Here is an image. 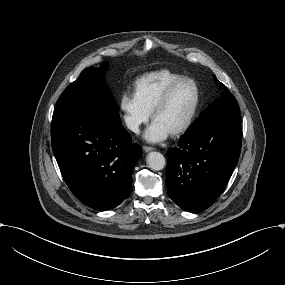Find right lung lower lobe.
Here are the masks:
<instances>
[{
	"instance_id": "98d812e1",
	"label": "right lung lower lobe",
	"mask_w": 285,
	"mask_h": 285,
	"mask_svg": "<svg viewBox=\"0 0 285 285\" xmlns=\"http://www.w3.org/2000/svg\"><path fill=\"white\" fill-rule=\"evenodd\" d=\"M51 144L66 184L81 202L96 210H109L129 196L141 149L132 143L118 112H55Z\"/></svg>"
}]
</instances>
